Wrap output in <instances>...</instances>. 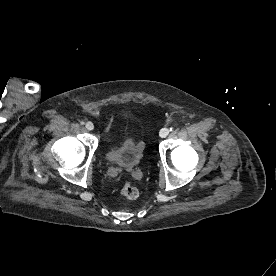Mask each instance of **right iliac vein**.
<instances>
[{"label":"right iliac vein","instance_id":"obj_1","mask_svg":"<svg viewBox=\"0 0 276 276\" xmlns=\"http://www.w3.org/2000/svg\"><path fill=\"white\" fill-rule=\"evenodd\" d=\"M85 127L87 130L92 131L94 129V124L91 121L85 123Z\"/></svg>","mask_w":276,"mask_h":276}]
</instances>
